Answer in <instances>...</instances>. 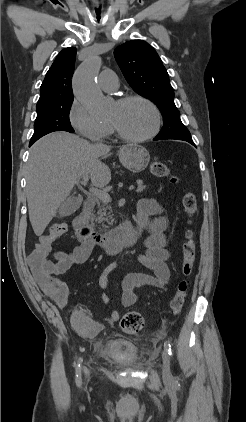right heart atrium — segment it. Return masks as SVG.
I'll list each match as a JSON object with an SVG mask.
<instances>
[{
    "instance_id": "right-heart-atrium-1",
    "label": "right heart atrium",
    "mask_w": 246,
    "mask_h": 422,
    "mask_svg": "<svg viewBox=\"0 0 246 422\" xmlns=\"http://www.w3.org/2000/svg\"><path fill=\"white\" fill-rule=\"evenodd\" d=\"M69 121L78 134L91 141L102 140L111 132V127L108 123L94 118L77 100H74L71 105Z\"/></svg>"
}]
</instances>
